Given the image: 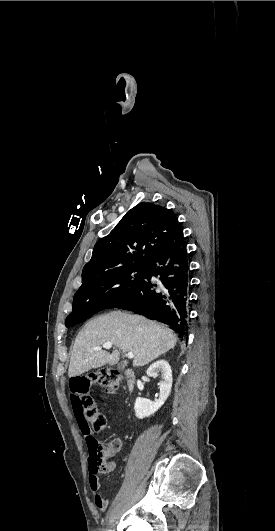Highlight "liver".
Segmentation results:
<instances>
[{
	"instance_id": "1",
	"label": "liver",
	"mask_w": 275,
	"mask_h": 531,
	"mask_svg": "<svg viewBox=\"0 0 275 531\" xmlns=\"http://www.w3.org/2000/svg\"><path fill=\"white\" fill-rule=\"evenodd\" d=\"M115 351H93L104 343ZM177 337L172 329L157 325L139 315L111 311L89 321L75 339L68 377H78L103 365H117L121 353H133V367H144L173 349Z\"/></svg>"
}]
</instances>
